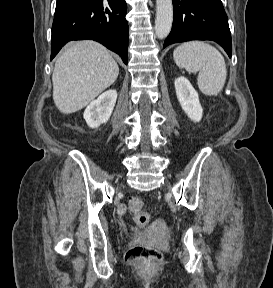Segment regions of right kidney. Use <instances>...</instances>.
I'll list each match as a JSON object with an SVG mask.
<instances>
[{"mask_svg":"<svg viewBox=\"0 0 273 288\" xmlns=\"http://www.w3.org/2000/svg\"><path fill=\"white\" fill-rule=\"evenodd\" d=\"M117 91L110 89L92 101L84 111L83 117L90 128H97L106 123L115 106Z\"/></svg>","mask_w":273,"mask_h":288,"instance_id":"1","label":"right kidney"}]
</instances>
